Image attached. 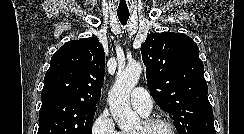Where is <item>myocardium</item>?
<instances>
[{
    "mask_svg": "<svg viewBox=\"0 0 244 134\" xmlns=\"http://www.w3.org/2000/svg\"><path fill=\"white\" fill-rule=\"evenodd\" d=\"M142 124L146 130H149L155 126H165L169 129L171 134H179L176 127L171 122L164 119H158V118L146 119L142 122Z\"/></svg>",
    "mask_w": 244,
    "mask_h": 134,
    "instance_id": "f54148a6",
    "label": "myocardium"
}]
</instances>
